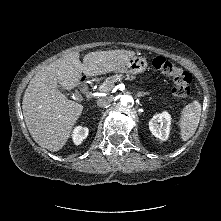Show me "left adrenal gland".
<instances>
[{
	"label": "left adrenal gland",
	"instance_id": "a2214340",
	"mask_svg": "<svg viewBox=\"0 0 221 221\" xmlns=\"http://www.w3.org/2000/svg\"><path fill=\"white\" fill-rule=\"evenodd\" d=\"M148 94H149L148 92H139L137 93V96L141 97V96L148 95Z\"/></svg>",
	"mask_w": 221,
	"mask_h": 221
}]
</instances>
